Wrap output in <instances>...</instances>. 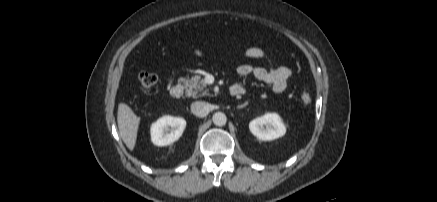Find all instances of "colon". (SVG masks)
<instances>
[{"instance_id":"5ec220e1","label":"colon","mask_w":437,"mask_h":202,"mask_svg":"<svg viewBox=\"0 0 437 202\" xmlns=\"http://www.w3.org/2000/svg\"><path fill=\"white\" fill-rule=\"evenodd\" d=\"M140 88L144 91L150 90L157 83V76L154 73L143 71L138 76ZM303 105H309L312 101L308 91H303L300 95Z\"/></svg>"}]
</instances>
